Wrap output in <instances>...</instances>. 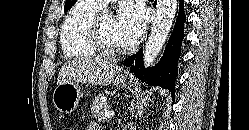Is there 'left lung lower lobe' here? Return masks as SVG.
Wrapping results in <instances>:
<instances>
[{"mask_svg":"<svg viewBox=\"0 0 249 130\" xmlns=\"http://www.w3.org/2000/svg\"><path fill=\"white\" fill-rule=\"evenodd\" d=\"M179 2V12L174 29L158 64L145 69L142 62V49L136 55L124 61V65L130 67V71L138 79L152 86L166 88L170 90L173 96L175 95V80L178 71L177 62L180 57L182 40L184 39V23L186 22L184 0H179Z\"/></svg>","mask_w":249,"mask_h":130,"instance_id":"0a47b994","label":"left lung lower lobe"}]
</instances>
